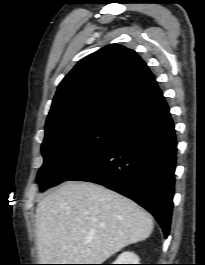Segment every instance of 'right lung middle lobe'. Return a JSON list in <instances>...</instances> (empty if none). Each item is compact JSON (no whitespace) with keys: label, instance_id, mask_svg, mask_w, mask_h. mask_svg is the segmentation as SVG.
I'll return each mask as SVG.
<instances>
[{"label":"right lung middle lobe","instance_id":"dd1d6c3e","mask_svg":"<svg viewBox=\"0 0 205 265\" xmlns=\"http://www.w3.org/2000/svg\"><path fill=\"white\" fill-rule=\"evenodd\" d=\"M121 124L97 122L63 132L45 133L44 164L36 182L41 190L67 180L95 158L114 138Z\"/></svg>","mask_w":205,"mask_h":265}]
</instances>
